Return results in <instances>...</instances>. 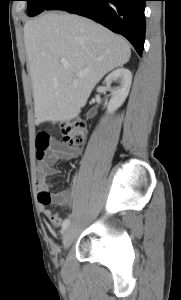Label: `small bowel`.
I'll return each instance as SVG.
<instances>
[{"instance_id": "obj_1", "label": "small bowel", "mask_w": 181, "mask_h": 300, "mask_svg": "<svg viewBox=\"0 0 181 300\" xmlns=\"http://www.w3.org/2000/svg\"><path fill=\"white\" fill-rule=\"evenodd\" d=\"M76 152L64 153L65 158H73ZM60 150L57 142L52 141L50 149L46 152L45 157L37 165V187L38 201L43 207V214L53 227H59L62 223L61 217L46 208L49 205L69 206L73 198V191H62L58 193L50 192L52 187L49 177L57 175L58 170L55 164L60 160Z\"/></svg>"}]
</instances>
